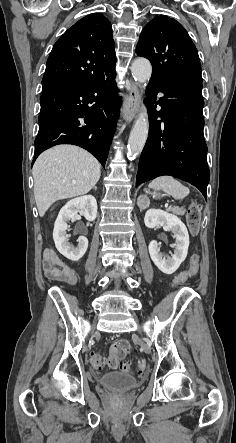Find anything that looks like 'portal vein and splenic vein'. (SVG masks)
Masks as SVG:
<instances>
[{
  "label": "portal vein and splenic vein",
  "mask_w": 236,
  "mask_h": 443,
  "mask_svg": "<svg viewBox=\"0 0 236 443\" xmlns=\"http://www.w3.org/2000/svg\"><path fill=\"white\" fill-rule=\"evenodd\" d=\"M166 208L168 209L169 207H168V205H166ZM170 209V208H169Z\"/></svg>",
  "instance_id": "obj_1"
}]
</instances>
